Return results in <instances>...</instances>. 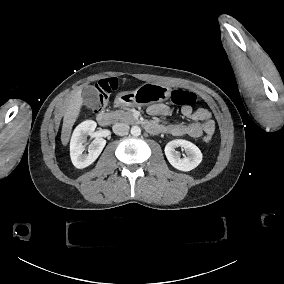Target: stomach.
Instances as JSON below:
<instances>
[{"mask_svg": "<svg viewBox=\"0 0 284 284\" xmlns=\"http://www.w3.org/2000/svg\"><path fill=\"white\" fill-rule=\"evenodd\" d=\"M171 89L159 83H144L134 91H124L116 96L115 104L121 107H134L163 102L170 96Z\"/></svg>", "mask_w": 284, "mask_h": 284, "instance_id": "0dacf381", "label": "stomach"}]
</instances>
